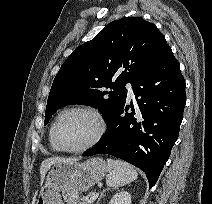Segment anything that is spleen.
Instances as JSON below:
<instances>
[{"label": "spleen", "instance_id": "spleen-1", "mask_svg": "<svg viewBox=\"0 0 212 204\" xmlns=\"http://www.w3.org/2000/svg\"><path fill=\"white\" fill-rule=\"evenodd\" d=\"M107 166L109 174L106 183L109 187L118 188L127 185L138 177L137 170L124 161L107 159Z\"/></svg>", "mask_w": 212, "mask_h": 204}]
</instances>
